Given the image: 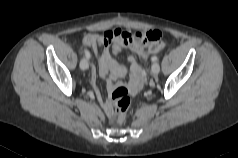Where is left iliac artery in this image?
<instances>
[{
    "label": "left iliac artery",
    "mask_w": 238,
    "mask_h": 158,
    "mask_svg": "<svg viewBox=\"0 0 238 158\" xmlns=\"http://www.w3.org/2000/svg\"><path fill=\"white\" fill-rule=\"evenodd\" d=\"M153 62L158 61V57L157 56H153L151 59Z\"/></svg>",
    "instance_id": "1"
}]
</instances>
